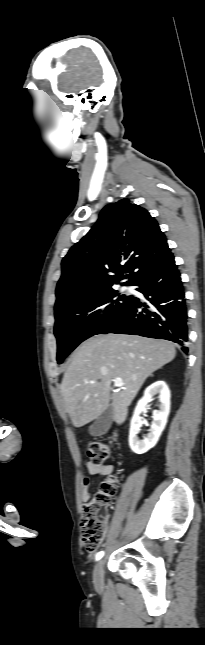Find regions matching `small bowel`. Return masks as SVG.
Returning <instances> with one entry per match:
<instances>
[{
	"instance_id": "1",
	"label": "small bowel",
	"mask_w": 205,
	"mask_h": 645,
	"mask_svg": "<svg viewBox=\"0 0 205 645\" xmlns=\"http://www.w3.org/2000/svg\"><path fill=\"white\" fill-rule=\"evenodd\" d=\"M86 468L90 476H85L82 480V499L84 501H87L90 498L93 478L110 475L114 470V467L111 464L95 465L91 462L87 463Z\"/></svg>"
}]
</instances>
